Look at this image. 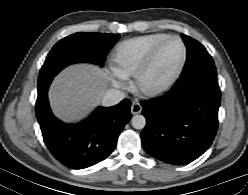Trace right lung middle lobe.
<instances>
[{"label": "right lung middle lobe", "instance_id": "right-lung-middle-lobe-1", "mask_svg": "<svg viewBox=\"0 0 248 195\" xmlns=\"http://www.w3.org/2000/svg\"><path fill=\"white\" fill-rule=\"evenodd\" d=\"M118 34L77 32L58 41L48 54L39 74L38 84L53 78L67 65L90 62L103 65Z\"/></svg>", "mask_w": 248, "mask_h": 195}]
</instances>
